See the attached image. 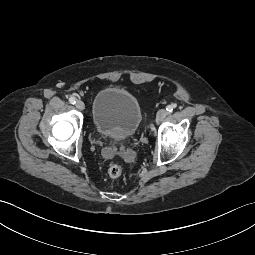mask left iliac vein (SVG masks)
<instances>
[{"label": "left iliac vein", "instance_id": "4c4485c4", "mask_svg": "<svg viewBox=\"0 0 255 255\" xmlns=\"http://www.w3.org/2000/svg\"><path fill=\"white\" fill-rule=\"evenodd\" d=\"M167 114H168V112H167L165 109H160V110L157 112L156 121H157V122L162 121V120L167 116Z\"/></svg>", "mask_w": 255, "mask_h": 255}]
</instances>
